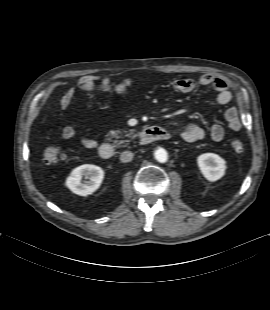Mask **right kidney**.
<instances>
[{
	"label": "right kidney",
	"mask_w": 270,
	"mask_h": 310,
	"mask_svg": "<svg viewBox=\"0 0 270 310\" xmlns=\"http://www.w3.org/2000/svg\"><path fill=\"white\" fill-rule=\"evenodd\" d=\"M89 179L82 183V177ZM104 171L92 164L81 165L72 170L66 179V186L75 194L87 196L95 192L101 185Z\"/></svg>",
	"instance_id": "ca27d5eb"
}]
</instances>
